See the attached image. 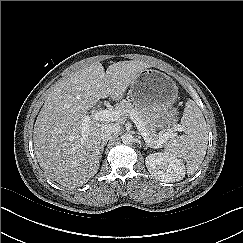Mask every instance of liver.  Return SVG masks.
<instances>
[{"label":"liver","mask_w":243,"mask_h":243,"mask_svg":"<svg viewBox=\"0 0 243 243\" xmlns=\"http://www.w3.org/2000/svg\"><path fill=\"white\" fill-rule=\"evenodd\" d=\"M151 66L143 61H120L105 71L101 63L95 62L51 89L33 130L34 153L51 179L76 188L98 172L100 131L110 121L91 119L83 134V119L100 99H122L139 74Z\"/></svg>","instance_id":"1"}]
</instances>
